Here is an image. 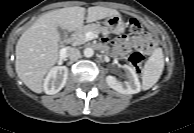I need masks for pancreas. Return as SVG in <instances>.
I'll return each mask as SVG.
<instances>
[{"mask_svg":"<svg viewBox=\"0 0 194 133\" xmlns=\"http://www.w3.org/2000/svg\"><path fill=\"white\" fill-rule=\"evenodd\" d=\"M93 32L94 34L108 35L109 31L99 26L98 24H89L79 28L71 37L72 44L79 46L87 42L86 33Z\"/></svg>","mask_w":194,"mask_h":133,"instance_id":"1","label":"pancreas"}]
</instances>
